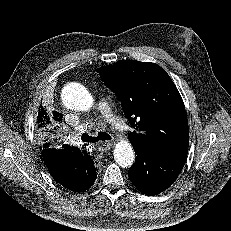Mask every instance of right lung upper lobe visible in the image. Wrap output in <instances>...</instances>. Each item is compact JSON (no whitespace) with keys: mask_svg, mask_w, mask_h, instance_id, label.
<instances>
[{"mask_svg":"<svg viewBox=\"0 0 231 231\" xmlns=\"http://www.w3.org/2000/svg\"><path fill=\"white\" fill-rule=\"evenodd\" d=\"M37 119L38 129L42 133L46 132L53 122L51 115L42 106H39ZM57 120L61 119L57 118ZM48 153L52 155L48 156ZM54 154L56 156L52 157ZM83 154L77 147H71L67 144L58 146L55 141L46 142L42 151L44 163L51 176L61 185L71 190H74V186L80 182L83 176L85 170H83L82 166L87 167V165H81L76 161L77 157Z\"/></svg>","mask_w":231,"mask_h":231,"instance_id":"obj_1","label":"right lung upper lobe"}]
</instances>
